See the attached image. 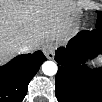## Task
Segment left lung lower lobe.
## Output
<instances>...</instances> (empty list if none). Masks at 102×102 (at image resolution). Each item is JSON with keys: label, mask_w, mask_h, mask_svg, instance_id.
<instances>
[{"label": "left lung lower lobe", "mask_w": 102, "mask_h": 102, "mask_svg": "<svg viewBox=\"0 0 102 102\" xmlns=\"http://www.w3.org/2000/svg\"><path fill=\"white\" fill-rule=\"evenodd\" d=\"M102 54V30L84 31L67 48L56 51L59 63L55 94L59 102H101L102 68L90 69L84 63Z\"/></svg>", "instance_id": "0a47b994"}]
</instances>
